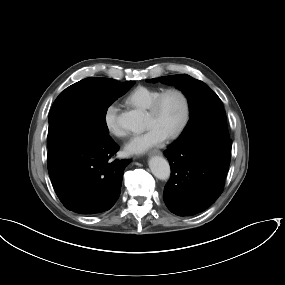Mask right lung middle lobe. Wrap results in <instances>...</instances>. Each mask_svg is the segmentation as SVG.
<instances>
[{
  "mask_svg": "<svg viewBox=\"0 0 285 285\" xmlns=\"http://www.w3.org/2000/svg\"><path fill=\"white\" fill-rule=\"evenodd\" d=\"M134 84L135 81L86 78L63 90L49 114L48 151L75 137H109L107 109Z\"/></svg>",
  "mask_w": 285,
  "mask_h": 285,
  "instance_id": "obj_1",
  "label": "right lung middle lobe"
}]
</instances>
